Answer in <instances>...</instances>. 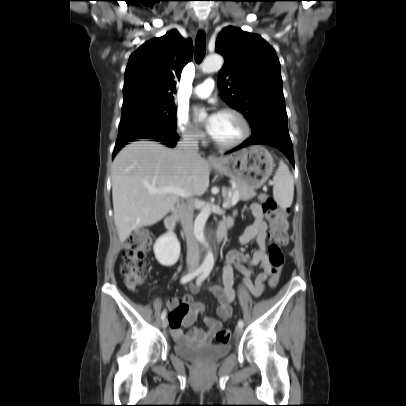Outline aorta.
I'll use <instances>...</instances> for the list:
<instances>
[{"label": "aorta", "mask_w": 406, "mask_h": 406, "mask_svg": "<svg viewBox=\"0 0 406 406\" xmlns=\"http://www.w3.org/2000/svg\"><path fill=\"white\" fill-rule=\"evenodd\" d=\"M223 63H224V60L221 55H218V54L209 55L203 61L201 69L204 73H213V72L220 70L221 67L223 66ZM199 117L204 119L206 117V113H204V112L200 113ZM209 215H210V208L205 207L196 217L195 222H194L195 238L205 248L209 247V245L206 241V238L204 236V227H205V224H206V221H207ZM213 265H214V256H213L212 251L208 250L207 255L202 264V268L210 271L213 268Z\"/></svg>", "instance_id": "1"}]
</instances>
